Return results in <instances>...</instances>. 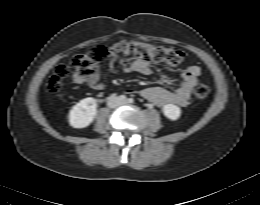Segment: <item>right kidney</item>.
<instances>
[{"label":"right kidney","instance_id":"right-kidney-1","mask_svg":"<svg viewBox=\"0 0 260 205\" xmlns=\"http://www.w3.org/2000/svg\"><path fill=\"white\" fill-rule=\"evenodd\" d=\"M96 114V100L92 97L82 99L70 110L68 115L69 124L73 128H85L92 123Z\"/></svg>","mask_w":260,"mask_h":205}]
</instances>
